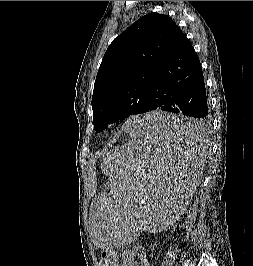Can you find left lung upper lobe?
<instances>
[{"label": "left lung upper lobe", "instance_id": "5c2ea615", "mask_svg": "<svg viewBox=\"0 0 253 266\" xmlns=\"http://www.w3.org/2000/svg\"><path fill=\"white\" fill-rule=\"evenodd\" d=\"M176 28L168 16L149 13L112 41L94 84L91 104L96 131L145 113L158 60Z\"/></svg>", "mask_w": 253, "mask_h": 266}]
</instances>
